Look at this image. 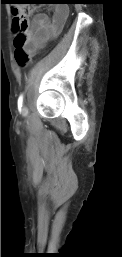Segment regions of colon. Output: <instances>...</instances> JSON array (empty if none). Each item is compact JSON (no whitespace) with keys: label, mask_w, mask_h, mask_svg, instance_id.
I'll list each match as a JSON object with an SVG mask.
<instances>
[{"label":"colon","mask_w":122,"mask_h":257,"mask_svg":"<svg viewBox=\"0 0 122 257\" xmlns=\"http://www.w3.org/2000/svg\"><path fill=\"white\" fill-rule=\"evenodd\" d=\"M27 9V5H12V28L16 34L14 39V57L20 66H25L29 60V54L23 47L25 33L28 29V20L25 13Z\"/></svg>","instance_id":"1"}]
</instances>
